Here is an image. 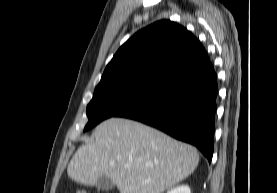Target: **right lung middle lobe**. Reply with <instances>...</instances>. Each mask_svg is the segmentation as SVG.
Instances as JSON below:
<instances>
[{
  "instance_id": "1",
  "label": "right lung middle lobe",
  "mask_w": 277,
  "mask_h": 193,
  "mask_svg": "<svg viewBox=\"0 0 277 193\" xmlns=\"http://www.w3.org/2000/svg\"><path fill=\"white\" fill-rule=\"evenodd\" d=\"M154 91V89L131 86L95 90L93 98L87 106L88 123L84 131L93 128L107 118L119 115Z\"/></svg>"
}]
</instances>
